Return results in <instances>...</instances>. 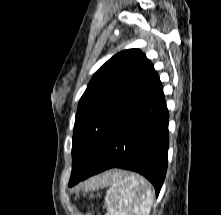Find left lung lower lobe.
I'll use <instances>...</instances> for the list:
<instances>
[{"mask_svg": "<svg viewBox=\"0 0 221 215\" xmlns=\"http://www.w3.org/2000/svg\"><path fill=\"white\" fill-rule=\"evenodd\" d=\"M168 109L162 83L153 68L146 84L119 113L96 161L77 181L111 168L135 171L155 187L158 197L167 170Z\"/></svg>", "mask_w": 221, "mask_h": 215, "instance_id": "0a47b994", "label": "left lung lower lobe"}]
</instances>
